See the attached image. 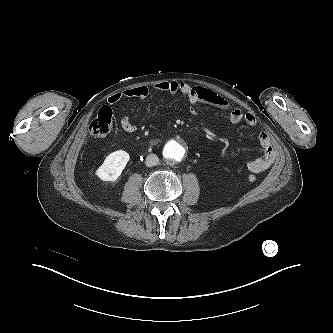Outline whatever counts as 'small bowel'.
Returning a JSON list of instances; mask_svg holds the SVG:
<instances>
[{
  "instance_id": "1",
  "label": "small bowel",
  "mask_w": 333,
  "mask_h": 333,
  "mask_svg": "<svg viewBox=\"0 0 333 333\" xmlns=\"http://www.w3.org/2000/svg\"><path fill=\"white\" fill-rule=\"evenodd\" d=\"M151 93H166L170 95L183 94L189 102L190 112L192 114H197L200 104H208L226 111L228 114L223 117L222 120L230 124L244 122L251 127L257 124V118L254 114L249 112L245 113L239 108L232 107L229 101L217 93L203 87H193L176 81L156 83L151 88L147 86L130 88L111 95L108 98V102L115 104L123 99H145ZM120 123L123 130L127 133H134L137 130L136 125L126 116L121 118ZM258 141L263 149V155L247 164L249 171L254 174L261 173L268 169L273 164L276 157L270 136L266 132L259 134Z\"/></svg>"
}]
</instances>
